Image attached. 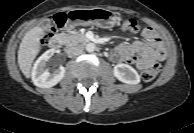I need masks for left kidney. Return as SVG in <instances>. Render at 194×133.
<instances>
[{"instance_id":"obj_1","label":"left kidney","mask_w":194,"mask_h":133,"mask_svg":"<svg viewBox=\"0 0 194 133\" xmlns=\"http://www.w3.org/2000/svg\"><path fill=\"white\" fill-rule=\"evenodd\" d=\"M114 76L121 82L135 85L140 82L137 71L128 64H117L113 69Z\"/></svg>"}]
</instances>
